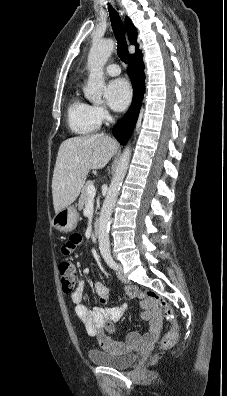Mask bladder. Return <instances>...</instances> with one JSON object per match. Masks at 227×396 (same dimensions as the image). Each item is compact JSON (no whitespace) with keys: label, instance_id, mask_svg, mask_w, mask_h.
I'll use <instances>...</instances> for the list:
<instances>
[{"label":"bladder","instance_id":"1","mask_svg":"<svg viewBox=\"0 0 227 396\" xmlns=\"http://www.w3.org/2000/svg\"><path fill=\"white\" fill-rule=\"evenodd\" d=\"M88 357L95 365L120 370L130 368L137 360V355L134 353H115L98 349L90 350Z\"/></svg>","mask_w":227,"mask_h":396}]
</instances>
